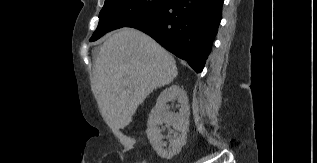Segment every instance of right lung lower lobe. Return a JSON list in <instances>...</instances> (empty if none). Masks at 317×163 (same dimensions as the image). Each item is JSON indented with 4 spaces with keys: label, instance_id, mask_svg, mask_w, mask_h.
Instances as JSON below:
<instances>
[{
    "label": "right lung lower lobe",
    "instance_id": "1",
    "mask_svg": "<svg viewBox=\"0 0 317 163\" xmlns=\"http://www.w3.org/2000/svg\"><path fill=\"white\" fill-rule=\"evenodd\" d=\"M224 0H168L127 27L139 29L201 72L221 21Z\"/></svg>",
    "mask_w": 317,
    "mask_h": 163
}]
</instances>
